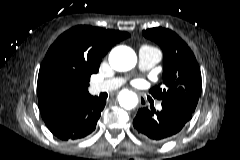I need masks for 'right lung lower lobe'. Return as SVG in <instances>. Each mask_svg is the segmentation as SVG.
Segmentation results:
<instances>
[{
	"label": "right lung lower lobe",
	"instance_id": "1",
	"mask_svg": "<svg viewBox=\"0 0 240 160\" xmlns=\"http://www.w3.org/2000/svg\"><path fill=\"white\" fill-rule=\"evenodd\" d=\"M105 104V100L86 93L72 100L55 101L40 108V113L57 138L77 140L95 130Z\"/></svg>",
	"mask_w": 240,
	"mask_h": 160
}]
</instances>
